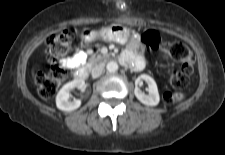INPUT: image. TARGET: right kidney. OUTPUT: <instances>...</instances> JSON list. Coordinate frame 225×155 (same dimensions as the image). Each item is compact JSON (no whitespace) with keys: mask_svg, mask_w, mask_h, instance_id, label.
I'll return each instance as SVG.
<instances>
[{"mask_svg":"<svg viewBox=\"0 0 225 155\" xmlns=\"http://www.w3.org/2000/svg\"><path fill=\"white\" fill-rule=\"evenodd\" d=\"M85 81L82 79H75L65 84L56 96V106L62 111H72L80 107V100L69 101L70 91L74 88L84 89Z\"/></svg>","mask_w":225,"mask_h":155,"instance_id":"right-kidney-1","label":"right kidney"}]
</instances>
